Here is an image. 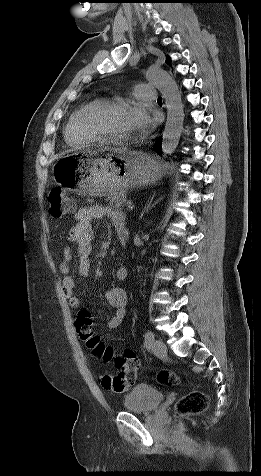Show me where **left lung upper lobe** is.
I'll list each match as a JSON object with an SVG mask.
<instances>
[{
    "label": "left lung upper lobe",
    "mask_w": 261,
    "mask_h": 476,
    "mask_svg": "<svg viewBox=\"0 0 261 476\" xmlns=\"http://www.w3.org/2000/svg\"><path fill=\"white\" fill-rule=\"evenodd\" d=\"M166 62H167L168 64H170V59H169V57H167Z\"/></svg>",
    "instance_id": "1"
}]
</instances>
